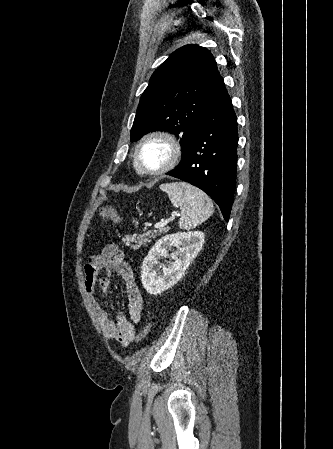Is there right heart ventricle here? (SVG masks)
<instances>
[{
  "label": "right heart ventricle",
  "mask_w": 333,
  "mask_h": 449,
  "mask_svg": "<svg viewBox=\"0 0 333 449\" xmlns=\"http://www.w3.org/2000/svg\"><path fill=\"white\" fill-rule=\"evenodd\" d=\"M134 167H135L136 171L138 172V170H137V168H136V166H135V163H134Z\"/></svg>",
  "instance_id": "right-heart-ventricle-1"
}]
</instances>
